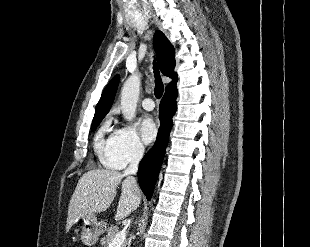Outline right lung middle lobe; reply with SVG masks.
Masks as SVG:
<instances>
[{
	"label": "right lung middle lobe",
	"instance_id": "obj_1",
	"mask_svg": "<svg viewBox=\"0 0 310 247\" xmlns=\"http://www.w3.org/2000/svg\"><path fill=\"white\" fill-rule=\"evenodd\" d=\"M103 118H104V116L95 119V120L93 121V123H92L91 128H92V129H95L96 127H98V125L101 123V121H102Z\"/></svg>",
	"mask_w": 310,
	"mask_h": 247
}]
</instances>
